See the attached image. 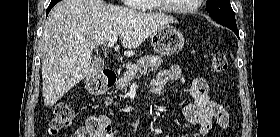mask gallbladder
<instances>
[{"label":"gallbladder","mask_w":280,"mask_h":137,"mask_svg":"<svg viewBox=\"0 0 280 137\" xmlns=\"http://www.w3.org/2000/svg\"><path fill=\"white\" fill-rule=\"evenodd\" d=\"M90 63L95 73L101 71L104 67V62L102 61V59L97 57L93 58Z\"/></svg>","instance_id":"gallbladder-1"}]
</instances>
